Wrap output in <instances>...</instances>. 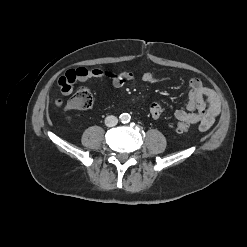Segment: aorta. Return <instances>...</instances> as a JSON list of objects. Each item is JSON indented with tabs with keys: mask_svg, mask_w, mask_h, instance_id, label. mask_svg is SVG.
I'll list each match as a JSON object with an SVG mask.
<instances>
[{
	"mask_svg": "<svg viewBox=\"0 0 247 247\" xmlns=\"http://www.w3.org/2000/svg\"><path fill=\"white\" fill-rule=\"evenodd\" d=\"M120 120L123 123H127L130 121V115L128 113H123L120 115Z\"/></svg>",
	"mask_w": 247,
	"mask_h": 247,
	"instance_id": "1",
	"label": "aorta"
}]
</instances>
